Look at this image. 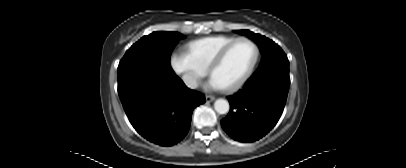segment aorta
Instances as JSON below:
<instances>
[{"label": "aorta", "mask_w": 406, "mask_h": 168, "mask_svg": "<svg viewBox=\"0 0 406 168\" xmlns=\"http://www.w3.org/2000/svg\"><path fill=\"white\" fill-rule=\"evenodd\" d=\"M214 109L219 114H225L229 111V103L225 99H217L214 102Z\"/></svg>", "instance_id": "aorta-1"}]
</instances>
